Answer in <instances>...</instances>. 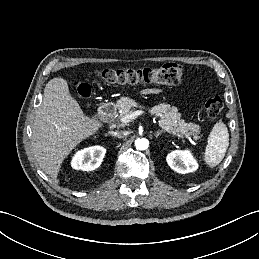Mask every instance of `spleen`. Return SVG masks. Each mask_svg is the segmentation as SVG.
Instances as JSON below:
<instances>
[{"label": "spleen", "instance_id": "1", "mask_svg": "<svg viewBox=\"0 0 259 259\" xmlns=\"http://www.w3.org/2000/svg\"><path fill=\"white\" fill-rule=\"evenodd\" d=\"M229 146V133L226 125L218 121L208 137V144L204 154L206 164L213 168L224 158Z\"/></svg>", "mask_w": 259, "mask_h": 259}]
</instances>
